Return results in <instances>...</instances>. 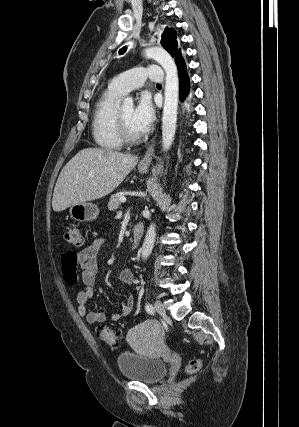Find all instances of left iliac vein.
Listing matches in <instances>:
<instances>
[{"label":"left iliac vein","instance_id":"4c4485c4","mask_svg":"<svg viewBox=\"0 0 299 427\" xmlns=\"http://www.w3.org/2000/svg\"><path fill=\"white\" fill-rule=\"evenodd\" d=\"M155 309L160 316H162V317L166 316V310H165V307L161 301H159V300L155 301Z\"/></svg>","mask_w":299,"mask_h":427}]
</instances>
